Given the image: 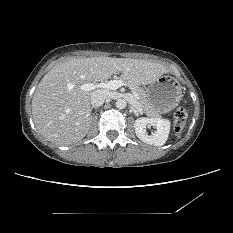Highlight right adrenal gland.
I'll return each instance as SVG.
<instances>
[{
  "mask_svg": "<svg viewBox=\"0 0 233 233\" xmlns=\"http://www.w3.org/2000/svg\"><path fill=\"white\" fill-rule=\"evenodd\" d=\"M93 109H97V107L92 106V107L90 108V111H92Z\"/></svg>",
  "mask_w": 233,
  "mask_h": 233,
  "instance_id": "obj_1",
  "label": "right adrenal gland"
}]
</instances>
